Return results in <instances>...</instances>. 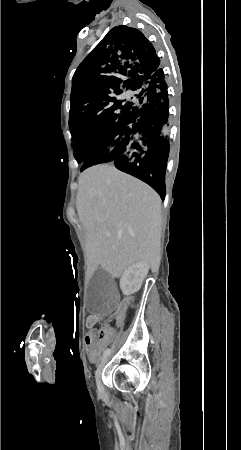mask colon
Here are the masks:
<instances>
[{"label": "colon", "mask_w": 241, "mask_h": 450, "mask_svg": "<svg viewBox=\"0 0 241 450\" xmlns=\"http://www.w3.org/2000/svg\"><path fill=\"white\" fill-rule=\"evenodd\" d=\"M92 316L91 315H86L84 317V322L86 324H88V326L91 327V328L94 327L96 322L98 321V318L96 317L97 315L95 313Z\"/></svg>", "instance_id": "colon-1"}]
</instances>
